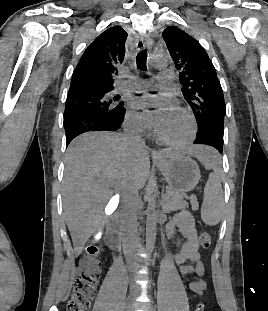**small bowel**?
Here are the masks:
<instances>
[{"label": "small bowel", "mask_w": 268, "mask_h": 311, "mask_svg": "<svg viewBox=\"0 0 268 311\" xmlns=\"http://www.w3.org/2000/svg\"><path fill=\"white\" fill-rule=\"evenodd\" d=\"M165 232L178 247L174 261L179 266V272L182 275L204 276L206 265L198 250L197 230L192 214L185 210L177 213L167 224ZM206 288L207 283L202 278L195 277L190 283V289L197 297L201 296Z\"/></svg>", "instance_id": "1"}]
</instances>
